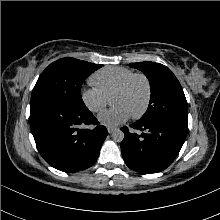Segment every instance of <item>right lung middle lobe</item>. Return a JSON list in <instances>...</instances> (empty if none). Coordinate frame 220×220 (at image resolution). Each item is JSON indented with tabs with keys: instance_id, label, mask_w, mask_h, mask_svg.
<instances>
[{
	"instance_id": "dd1d6c3e",
	"label": "right lung middle lobe",
	"mask_w": 220,
	"mask_h": 220,
	"mask_svg": "<svg viewBox=\"0 0 220 220\" xmlns=\"http://www.w3.org/2000/svg\"><path fill=\"white\" fill-rule=\"evenodd\" d=\"M103 65L75 58H62L51 63L39 76L31 100L48 98L76 108H86L81 97L84 80Z\"/></svg>"
}]
</instances>
